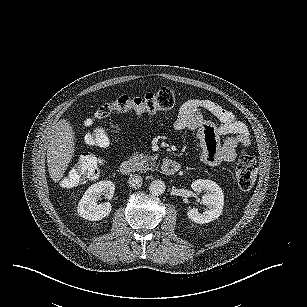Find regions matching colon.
<instances>
[{"label":"colon","mask_w":307,"mask_h":307,"mask_svg":"<svg viewBox=\"0 0 307 307\" xmlns=\"http://www.w3.org/2000/svg\"><path fill=\"white\" fill-rule=\"evenodd\" d=\"M176 103L175 93L170 88H162L156 92H149L144 96L131 97L119 95L116 98L101 104L96 110L97 118H105L114 112L135 110L139 112H154L157 110H169ZM90 122V121H89ZM86 143L94 147H106L110 143L107 131L97 127L86 136ZM102 162L92 154H84L79 157L68 169L61 184L64 187H74L96 177L101 169ZM236 180L239 187L249 190L256 181V164L250 153L242 151L236 165Z\"/></svg>","instance_id":"colon-1"}]
</instances>
